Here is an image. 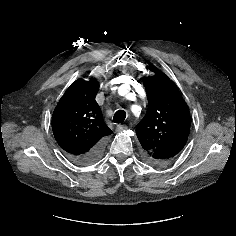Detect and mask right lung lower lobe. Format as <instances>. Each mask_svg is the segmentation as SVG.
Masks as SVG:
<instances>
[{
  "instance_id": "obj_1",
  "label": "right lung lower lobe",
  "mask_w": 236,
  "mask_h": 236,
  "mask_svg": "<svg viewBox=\"0 0 236 236\" xmlns=\"http://www.w3.org/2000/svg\"><path fill=\"white\" fill-rule=\"evenodd\" d=\"M105 149V139L97 143L89 152L81 155H68L69 158L79 165H90L97 162L103 155Z\"/></svg>"
}]
</instances>
